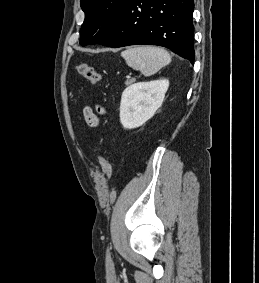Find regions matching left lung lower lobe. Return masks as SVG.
<instances>
[{
	"instance_id": "obj_1",
	"label": "left lung lower lobe",
	"mask_w": 259,
	"mask_h": 283,
	"mask_svg": "<svg viewBox=\"0 0 259 283\" xmlns=\"http://www.w3.org/2000/svg\"><path fill=\"white\" fill-rule=\"evenodd\" d=\"M194 0H129L111 33L109 47L158 45L194 63Z\"/></svg>"
}]
</instances>
